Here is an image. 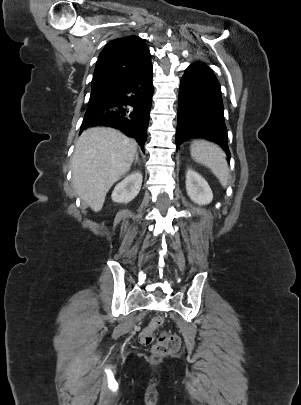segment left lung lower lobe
<instances>
[{
	"label": "left lung lower lobe",
	"instance_id": "obj_1",
	"mask_svg": "<svg viewBox=\"0 0 301 405\" xmlns=\"http://www.w3.org/2000/svg\"><path fill=\"white\" fill-rule=\"evenodd\" d=\"M193 138L219 145L230 158L220 84L212 69L201 61L191 64L181 80L176 149Z\"/></svg>",
	"mask_w": 301,
	"mask_h": 405
}]
</instances>
